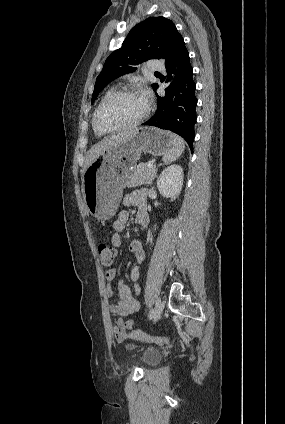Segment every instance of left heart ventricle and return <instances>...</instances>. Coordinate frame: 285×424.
Masks as SVG:
<instances>
[{
    "label": "left heart ventricle",
    "mask_w": 285,
    "mask_h": 424,
    "mask_svg": "<svg viewBox=\"0 0 285 424\" xmlns=\"http://www.w3.org/2000/svg\"><path fill=\"white\" fill-rule=\"evenodd\" d=\"M147 103L141 94H129L110 101L99 115L102 127H115L129 123L141 116Z\"/></svg>",
    "instance_id": "b2bd125f"
}]
</instances>
